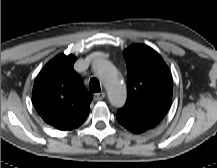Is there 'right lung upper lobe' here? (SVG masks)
Instances as JSON below:
<instances>
[{"mask_svg":"<svg viewBox=\"0 0 217 168\" xmlns=\"http://www.w3.org/2000/svg\"><path fill=\"white\" fill-rule=\"evenodd\" d=\"M75 61L71 54L56 56L40 71L33 87L36 111L47 124L59 130L79 127L89 114L92 95L74 71Z\"/></svg>","mask_w":217,"mask_h":168,"instance_id":"cb5924a9","label":"right lung upper lobe"}]
</instances>
